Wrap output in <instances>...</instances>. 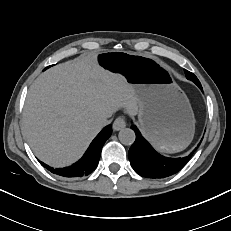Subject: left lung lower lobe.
Wrapping results in <instances>:
<instances>
[{
	"instance_id": "0a47b994",
	"label": "left lung lower lobe",
	"mask_w": 231,
	"mask_h": 231,
	"mask_svg": "<svg viewBox=\"0 0 231 231\" xmlns=\"http://www.w3.org/2000/svg\"><path fill=\"white\" fill-rule=\"evenodd\" d=\"M202 90V87H200ZM131 128L136 133V140L131 146L128 157L132 168L142 177L164 178L180 171L189 161L194 151L183 158H167L157 153L142 137L136 126Z\"/></svg>"
}]
</instances>
